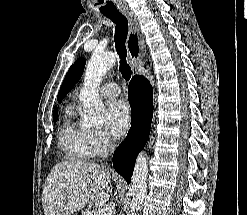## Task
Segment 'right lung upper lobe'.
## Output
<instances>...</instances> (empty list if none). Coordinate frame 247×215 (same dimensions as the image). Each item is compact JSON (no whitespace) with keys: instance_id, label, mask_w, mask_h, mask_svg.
Masks as SVG:
<instances>
[{"instance_id":"1","label":"right lung upper lobe","mask_w":247,"mask_h":215,"mask_svg":"<svg viewBox=\"0 0 247 215\" xmlns=\"http://www.w3.org/2000/svg\"><path fill=\"white\" fill-rule=\"evenodd\" d=\"M56 113H58V107H57V106L54 107V112H53V114H56Z\"/></svg>"}]
</instances>
